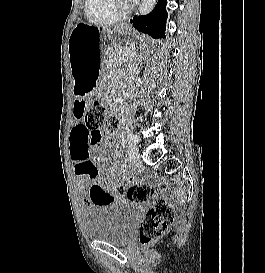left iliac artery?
Wrapping results in <instances>:
<instances>
[{
    "label": "left iliac artery",
    "instance_id": "44dca946",
    "mask_svg": "<svg viewBox=\"0 0 265 273\" xmlns=\"http://www.w3.org/2000/svg\"><path fill=\"white\" fill-rule=\"evenodd\" d=\"M127 137L130 141L138 142V137L134 133H128Z\"/></svg>",
    "mask_w": 265,
    "mask_h": 273
}]
</instances>
